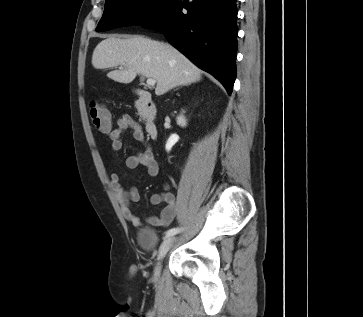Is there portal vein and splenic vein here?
<instances>
[{
  "instance_id": "1",
  "label": "portal vein and splenic vein",
  "mask_w": 363,
  "mask_h": 317,
  "mask_svg": "<svg viewBox=\"0 0 363 317\" xmlns=\"http://www.w3.org/2000/svg\"><path fill=\"white\" fill-rule=\"evenodd\" d=\"M147 85L149 86H154L156 84V80L155 79H152V78H148L147 81H146Z\"/></svg>"
}]
</instances>
